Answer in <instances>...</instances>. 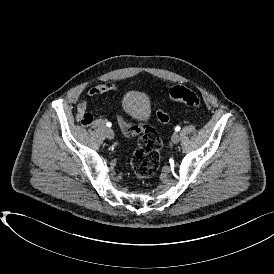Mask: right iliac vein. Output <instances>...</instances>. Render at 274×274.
<instances>
[{
	"label": "right iliac vein",
	"mask_w": 274,
	"mask_h": 274,
	"mask_svg": "<svg viewBox=\"0 0 274 274\" xmlns=\"http://www.w3.org/2000/svg\"><path fill=\"white\" fill-rule=\"evenodd\" d=\"M106 136H107L108 139H113L114 138V131L112 129L108 128L106 130Z\"/></svg>",
	"instance_id": "1"
}]
</instances>
